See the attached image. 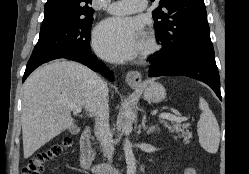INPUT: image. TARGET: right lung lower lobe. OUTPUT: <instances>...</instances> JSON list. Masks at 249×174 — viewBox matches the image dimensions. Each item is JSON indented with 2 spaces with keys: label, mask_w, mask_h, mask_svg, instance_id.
I'll list each match as a JSON object with an SVG mask.
<instances>
[{
  "label": "right lung lower lobe",
  "mask_w": 249,
  "mask_h": 174,
  "mask_svg": "<svg viewBox=\"0 0 249 174\" xmlns=\"http://www.w3.org/2000/svg\"><path fill=\"white\" fill-rule=\"evenodd\" d=\"M57 58H66L70 60H75L77 62H80L90 69L94 71H99L103 75H105L107 78H109L111 81H113V73L106 68V66L99 62L95 55L91 54V51L89 52H49L45 53L43 55H40L39 57L29 60L26 66V70L23 76V81L30 75L32 71H34L38 66H40L43 63H46L48 61L57 59Z\"/></svg>",
  "instance_id": "right-lung-lower-lobe-1"
}]
</instances>
